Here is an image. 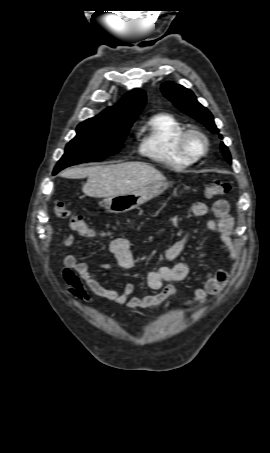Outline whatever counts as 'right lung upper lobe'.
<instances>
[{
    "label": "right lung upper lobe",
    "instance_id": "1",
    "mask_svg": "<svg viewBox=\"0 0 270 453\" xmlns=\"http://www.w3.org/2000/svg\"><path fill=\"white\" fill-rule=\"evenodd\" d=\"M146 102L145 92L134 89L127 93L115 106L109 107L88 121H97L115 127L132 125Z\"/></svg>",
    "mask_w": 270,
    "mask_h": 453
}]
</instances>
